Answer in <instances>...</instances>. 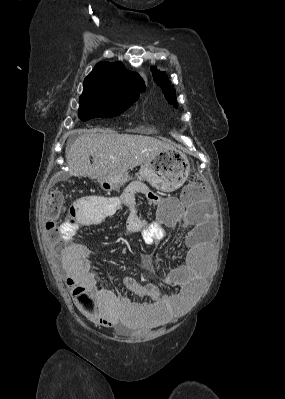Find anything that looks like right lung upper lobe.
Here are the masks:
<instances>
[{"instance_id":"right-lung-upper-lobe-1","label":"right lung upper lobe","mask_w":285,"mask_h":399,"mask_svg":"<svg viewBox=\"0 0 285 399\" xmlns=\"http://www.w3.org/2000/svg\"><path fill=\"white\" fill-rule=\"evenodd\" d=\"M144 90L142 78L137 73L125 70L121 62H99L85 78L83 94L80 98L137 95Z\"/></svg>"}]
</instances>
